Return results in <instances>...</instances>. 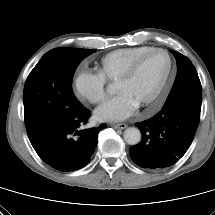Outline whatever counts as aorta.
<instances>
[{"mask_svg": "<svg viewBox=\"0 0 215 215\" xmlns=\"http://www.w3.org/2000/svg\"><path fill=\"white\" fill-rule=\"evenodd\" d=\"M124 140L130 145H136L141 141V132L138 128L130 127L124 131Z\"/></svg>", "mask_w": 215, "mask_h": 215, "instance_id": "762f6f07", "label": "aorta"}]
</instances>
